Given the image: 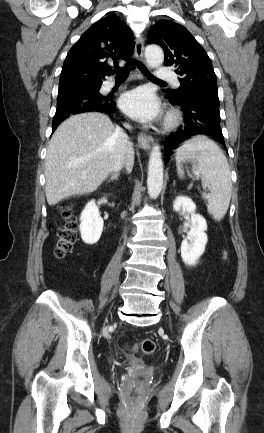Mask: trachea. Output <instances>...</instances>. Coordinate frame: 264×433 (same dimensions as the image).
Wrapping results in <instances>:
<instances>
[{
  "mask_svg": "<svg viewBox=\"0 0 264 433\" xmlns=\"http://www.w3.org/2000/svg\"><path fill=\"white\" fill-rule=\"evenodd\" d=\"M135 64H137V66L139 67V69L141 70V72L144 74L145 77H147L150 80H154V81H159V82H164L158 78H156L153 74H151L139 61H135L132 60L128 63V67H126L125 69L121 70L119 73H117L116 78H126L131 69L134 68Z\"/></svg>",
  "mask_w": 264,
  "mask_h": 433,
  "instance_id": "obj_1",
  "label": "trachea"
}]
</instances>
